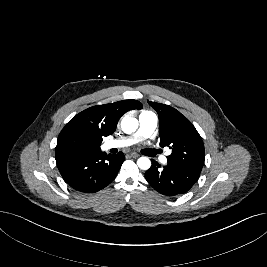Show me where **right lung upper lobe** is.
I'll return each mask as SVG.
<instances>
[{"label":"right lung upper lobe","instance_id":"cb5924a9","mask_svg":"<svg viewBox=\"0 0 267 267\" xmlns=\"http://www.w3.org/2000/svg\"><path fill=\"white\" fill-rule=\"evenodd\" d=\"M141 107L142 104L136 100L90 107L74 116L62 129L58 139L67 135H80L100 147L103 137L115 132L118 120L124 113Z\"/></svg>","mask_w":267,"mask_h":267}]
</instances>
